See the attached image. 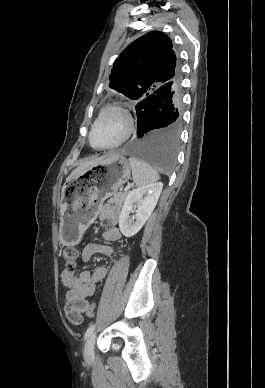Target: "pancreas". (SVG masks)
<instances>
[{
    "label": "pancreas",
    "instance_id": "pancreas-1",
    "mask_svg": "<svg viewBox=\"0 0 265 388\" xmlns=\"http://www.w3.org/2000/svg\"><path fill=\"white\" fill-rule=\"evenodd\" d=\"M126 196L127 192H118V194H114L113 198L108 200V204H118V206H122Z\"/></svg>",
    "mask_w": 265,
    "mask_h": 388
}]
</instances>
